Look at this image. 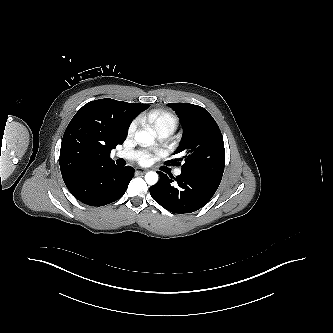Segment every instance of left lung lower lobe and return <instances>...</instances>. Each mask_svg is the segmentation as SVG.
Wrapping results in <instances>:
<instances>
[{"label": "left lung lower lobe", "instance_id": "obj_1", "mask_svg": "<svg viewBox=\"0 0 333 333\" xmlns=\"http://www.w3.org/2000/svg\"><path fill=\"white\" fill-rule=\"evenodd\" d=\"M160 181L150 187L152 198L173 213H192L205 206L215 194L221 178L207 174L182 173L168 177L158 172Z\"/></svg>", "mask_w": 333, "mask_h": 333}]
</instances>
